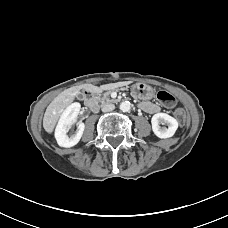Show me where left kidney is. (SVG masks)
<instances>
[{"label": "left kidney", "instance_id": "1", "mask_svg": "<svg viewBox=\"0 0 228 228\" xmlns=\"http://www.w3.org/2000/svg\"><path fill=\"white\" fill-rule=\"evenodd\" d=\"M151 124L154 134L159 138L172 137L178 128V121L166 113H157L153 115ZM160 124H167L168 128H161Z\"/></svg>", "mask_w": 228, "mask_h": 228}]
</instances>
